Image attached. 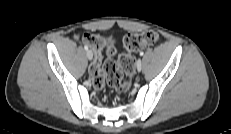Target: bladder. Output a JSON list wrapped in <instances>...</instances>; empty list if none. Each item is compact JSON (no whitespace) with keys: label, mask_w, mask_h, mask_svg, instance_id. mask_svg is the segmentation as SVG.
<instances>
[{"label":"bladder","mask_w":231,"mask_h":134,"mask_svg":"<svg viewBox=\"0 0 231 134\" xmlns=\"http://www.w3.org/2000/svg\"><path fill=\"white\" fill-rule=\"evenodd\" d=\"M105 49L107 52H109V50L111 49V41H108L106 46H105Z\"/></svg>","instance_id":"1"}]
</instances>
